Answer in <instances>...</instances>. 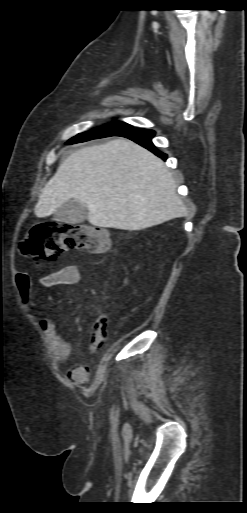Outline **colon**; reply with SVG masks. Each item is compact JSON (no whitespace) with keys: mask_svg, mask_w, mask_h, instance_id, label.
Returning <instances> with one entry per match:
<instances>
[{"mask_svg":"<svg viewBox=\"0 0 247 513\" xmlns=\"http://www.w3.org/2000/svg\"><path fill=\"white\" fill-rule=\"evenodd\" d=\"M110 247L111 240L108 234L97 227L54 220L43 221L33 226L21 243L23 254L42 260H55L69 249H82L99 254ZM107 322L105 315H100L95 321L90 339L94 348H99L106 342Z\"/></svg>","mask_w":247,"mask_h":513,"instance_id":"obj_1","label":"colon"}]
</instances>
